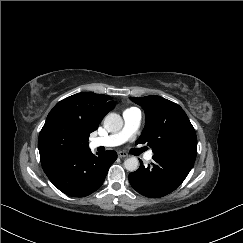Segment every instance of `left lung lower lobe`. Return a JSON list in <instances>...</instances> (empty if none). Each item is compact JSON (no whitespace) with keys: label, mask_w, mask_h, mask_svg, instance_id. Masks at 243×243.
I'll list each match as a JSON object with an SVG mask.
<instances>
[{"label":"left lung lower lobe","mask_w":243,"mask_h":243,"mask_svg":"<svg viewBox=\"0 0 243 243\" xmlns=\"http://www.w3.org/2000/svg\"><path fill=\"white\" fill-rule=\"evenodd\" d=\"M197 154L196 146L171 148L154 153L147 167L140 161L137 171L129 174V182L138 193L159 198L174 191L192 169Z\"/></svg>","instance_id":"1"}]
</instances>
